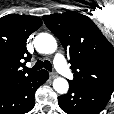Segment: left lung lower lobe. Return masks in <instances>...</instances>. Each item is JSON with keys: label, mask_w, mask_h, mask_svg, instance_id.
<instances>
[{"label": "left lung lower lobe", "mask_w": 114, "mask_h": 114, "mask_svg": "<svg viewBox=\"0 0 114 114\" xmlns=\"http://www.w3.org/2000/svg\"><path fill=\"white\" fill-rule=\"evenodd\" d=\"M112 93L70 81L69 92L58 97L60 108L67 114H99Z\"/></svg>", "instance_id": "left-lung-lower-lobe-1"}]
</instances>
